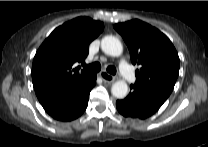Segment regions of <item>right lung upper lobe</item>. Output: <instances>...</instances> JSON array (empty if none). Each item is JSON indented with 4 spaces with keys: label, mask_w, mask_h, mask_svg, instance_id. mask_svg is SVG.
Listing matches in <instances>:
<instances>
[{
    "label": "right lung upper lobe",
    "mask_w": 208,
    "mask_h": 147,
    "mask_svg": "<svg viewBox=\"0 0 208 147\" xmlns=\"http://www.w3.org/2000/svg\"><path fill=\"white\" fill-rule=\"evenodd\" d=\"M103 29L100 21L78 17L57 27L46 38L32 65V82L41 104L72 93L94 75L73 65L85 60L89 44Z\"/></svg>",
    "instance_id": "right-lung-upper-lobe-1"
}]
</instances>
